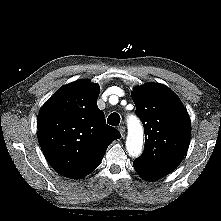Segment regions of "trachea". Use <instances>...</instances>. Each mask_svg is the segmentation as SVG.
I'll return each mask as SVG.
<instances>
[{"label": "trachea", "instance_id": "3493384b", "mask_svg": "<svg viewBox=\"0 0 221 221\" xmlns=\"http://www.w3.org/2000/svg\"><path fill=\"white\" fill-rule=\"evenodd\" d=\"M107 123L112 126H118L120 123V116L118 113H111L107 119Z\"/></svg>", "mask_w": 221, "mask_h": 221}]
</instances>
